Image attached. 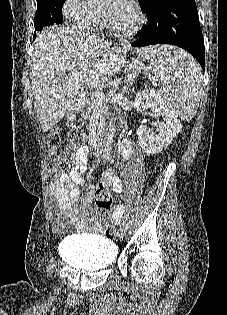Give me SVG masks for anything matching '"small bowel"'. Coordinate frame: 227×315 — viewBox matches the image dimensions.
Wrapping results in <instances>:
<instances>
[{
	"mask_svg": "<svg viewBox=\"0 0 227 315\" xmlns=\"http://www.w3.org/2000/svg\"><path fill=\"white\" fill-rule=\"evenodd\" d=\"M91 158V152L88 146H79L75 151V163L71 171L62 175L56 182L52 183L49 187L50 194L56 200L57 211L53 214L52 224L57 232L64 229L66 222H70L77 231H83L85 225L82 220V210L89 212L86 204L82 208L79 207L80 203L87 202L89 195H83L79 192L81 185L82 173L86 170L87 163ZM104 187H112V189L120 193L122 185L119 179L114 175L113 171L108 170L100 183ZM124 206L117 205L111 216L113 223H119L124 214ZM106 226L100 221L95 224V230L103 231Z\"/></svg>",
	"mask_w": 227,
	"mask_h": 315,
	"instance_id": "small-bowel-1",
	"label": "small bowel"
}]
</instances>
